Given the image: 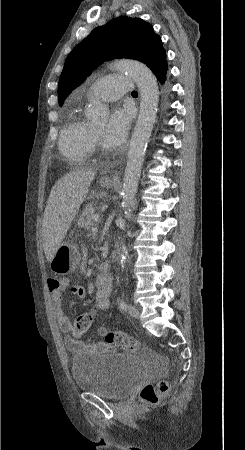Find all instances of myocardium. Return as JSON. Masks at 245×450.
Listing matches in <instances>:
<instances>
[{
    "instance_id": "1",
    "label": "myocardium",
    "mask_w": 245,
    "mask_h": 450,
    "mask_svg": "<svg viewBox=\"0 0 245 450\" xmlns=\"http://www.w3.org/2000/svg\"><path fill=\"white\" fill-rule=\"evenodd\" d=\"M92 137L95 143L100 144V136L95 132L93 128H92Z\"/></svg>"
}]
</instances>
